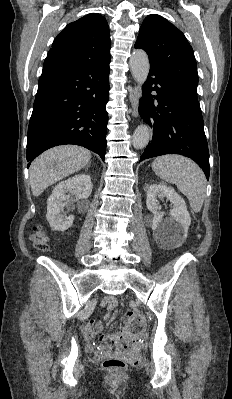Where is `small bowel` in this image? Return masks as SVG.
Listing matches in <instances>:
<instances>
[{"mask_svg": "<svg viewBox=\"0 0 232 399\" xmlns=\"http://www.w3.org/2000/svg\"><path fill=\"white\" fill-rule=\"evenodd\" d=\"M117 303V297L114 294L106 295L102 298V305L107 309V311H112ZM76 328L87 333L102 332L106 329V326L101 322L96 323H86L78 321L75 324Z\"/></svg>", "mask_w": 232, "mask_h": 399, "instance_id": "1", "label": "small bowel"}]
</instances>
